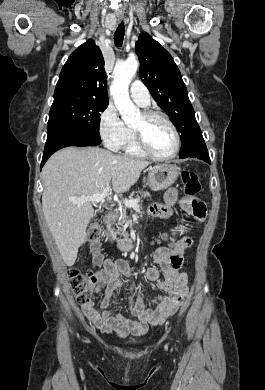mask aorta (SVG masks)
Wrapping results in <instances>:
<instances>
[{"label": "aorta", "mask_w": 265, "mask_h": 390, "mask_svg": "<svg viewBox=\"0 0 265 390\" xmlns=\"http://www.w3.org/2000/svg\"><path fill=\"white\" fill-rule=\"evenodd\" d=\"M138 66L139 63L136 59H128L117 63L113 71L114 80L110 87V94L126 124L135 123L140 118V110L131 101L128 91Z\"/></svg>", "instance_id": "aorta-1"}]
</instances>
